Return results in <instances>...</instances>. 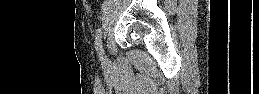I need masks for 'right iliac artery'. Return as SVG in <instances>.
<instances>
[{
  "label": "right iliac artery",
  "instance_id": "82829eb1",
  "mask_svg": "<svg viewBox=\"0 0 259 94\" xmlns=\"http://www.w3.org/2000/svg\"><path fill=\"white\" fill-rule=\"evenodd\" d=\"M101 37H102V31H101V29H98L96 32V37H95V48L98 52L100 60L102 61V63H105L104 50L102 48Z\"/></svg>",
  "mask_w": 259,
  "mask_h": 94
}]
</instances>
